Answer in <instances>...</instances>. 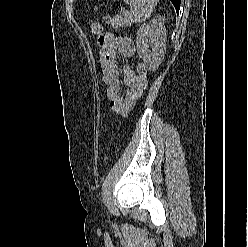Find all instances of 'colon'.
<instances>
[{
    "label": "colon",
    "instance_id": "colon-1",
    "mask_svg": "<svg viewBox=\"0 0 248 247\" xmlns=\"http://www.w3.org/2000/svg\"><path fill=\"white\" fill-rule=\"evenodd\" d=\"M91 30L93 34H100L103 31V26L100 22L95 21V22H92L91 24ZM137 76H138L139 87L144 90L146 87V82H147L146 80L147 68L145 67L143 63H139L137 65Z\"/></svg>",
    "mask_w": 248,
    "mask_h": 247
}]
</instances>
